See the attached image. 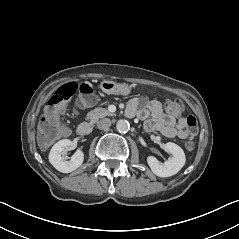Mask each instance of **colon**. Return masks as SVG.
Segmentation results:
<instances>
[{
	"instance_id": "1",
	"label": "colon",
	"mask_w": 239,
	"mask_h": 239,
	"mask_svg": "<svg viewBox=\"0 0 239 239\" xmlns=\"http://www.w3.org/2000/svg\"><path fill=\"white\" fill-rule=\"evenodd\" d=\"M76 93H78L76 102L78 108L90 106L95 102L94 91L91 85L87 83L77 84L75 82L61 85L49 98L40 121L39 136L43 144L52 142L60 135L62 126L58 117L64 111L68 100ZM165 108L168 114L176 116L183 111L184 105L180 99H171L166 102ZM186 129L190 136L196 135L198 125L194 116L186 118ZM194 146L192 139L185 143L188 151H192Z\"/></svg>"
}]
</instances>
